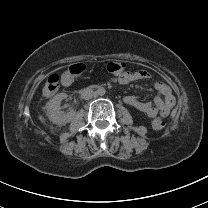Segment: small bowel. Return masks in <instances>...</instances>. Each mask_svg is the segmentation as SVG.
I'll return each mask as SVG.
<instances>
[{
    "instance_id": "obj_1",
    "label": "small bowel",
    "mask_w": 208,
    "mask_h": 208,
    "mask_svg": "<svg viewBox=\"0 0 208 208\" xmlns=\"http://www.w3.org/2000/svg\"><path fill=\"white\" fill-rule=\"evenodd\" d=\"M149 78V72L145 70H138L133 73H129L119 81L122 84H127L135 80H145ZM155 90L157 92V97L154 102H143L138 96L135 95L126 96L124 101L128 105L147 115L149 118H154L157 115L167 117L175 105L174 95L172 94L170 87L162 82H157L155 84Z\"/></svg>"
}]
</instances>
